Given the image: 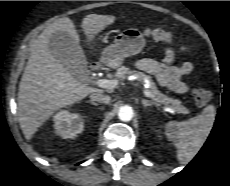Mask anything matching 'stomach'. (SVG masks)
Instances as JSON below:
<instances>
[{"instance_id":"obj_1","label":"stomach","mask_w":230,"mask_h":186,"mask_svg":"<svg viewBox=\"0 0 230 186\" xmlns=\"http://www.w3.org/2000/svg\"><path fill=\"white\" fill-rule=\"evenodd\" d=\"M145 42V38L139 29H125L116 36L114 44L103 50L101 62L111 68H116L123 63L126 57L140 53L145 46Z\"/></svg>"}]
</instances>
